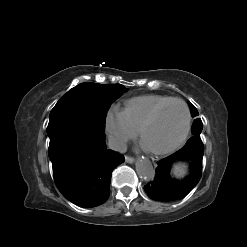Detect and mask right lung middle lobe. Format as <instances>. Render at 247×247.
Here are the masks:
<instances>
[{
  "instance_id": "dd1d6c3e",
  "label": "right lung middle lobe",
  "mask_w": 247,
  "mask_h": 247,
  "mask_svg": "<svg viewBox=\"0 0 247 247\" xmlns=\"http://www.w3.org/2000/svg\"><path fill=\"white\" fill-rule=\"evenodd\" d=\"M128 89L121 84L82 83L64 94L51 110L50 119L77 114L105 128L106 113Z\"/></svg>"
}]
</instances>
